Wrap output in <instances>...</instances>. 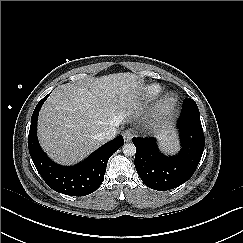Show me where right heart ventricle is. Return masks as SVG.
Listing matches in <instances>:
<instances>
[{"label": "right heart ventricle", "mask_w": 243, "mask_h": 243, "mask_svg": "<svg viewBox=\"0 0 243 243\" xmlns=\"http://www.w3.org/2000/svg\"><path fill=\"white\" fill-rule=\"evenodd\" d=\"M163 92V87L159 84H149L141 89L140 97L146 102L156 100Z\"/></svg>", "instance_id": "right-heart-ventricle-1"}]
</instances>
